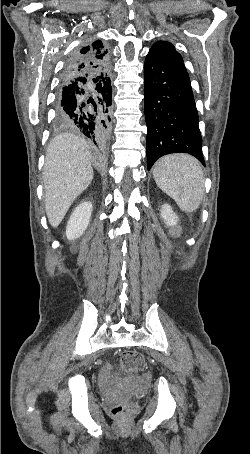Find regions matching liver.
Listing matches in <instances>:
<instances>
[{"label":"liver","mask_w":250,"mask_h":454,"mask_svg":"<svg viewBox=\"0 0 250 454\" xmlns=\"http://www.w3.org/2000/svg\"><path fill=\"white\" fill-rule=\"evenodd\" d=\"M92 180L91 153L86 141L71 133H61L52 139L43 171L45 210L52 227H58L73 201Z\"/></svg>","instance_id":"1"}]
</instances>
